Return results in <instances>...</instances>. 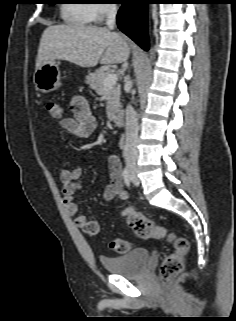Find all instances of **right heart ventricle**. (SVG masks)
Wrapping results in <instances>:
<instances>
[{
    "instance_id": "obj_1",
    "label": "right heart ventricle",
    "mask_w": 236,
    "mask_h": 321,
    "mask_svg": "<svg viewBox=\"0 0 236 321\" xmlns=\"http://www.w3.org/2000/svg\"><path fill=\"white\" fill-rule=\"evenodd\" d=\"M87 0H72L62 6V17L65 22L70 24L85 25L90 22V5L85 3Z\"/></svg>"
}]
</instances>
